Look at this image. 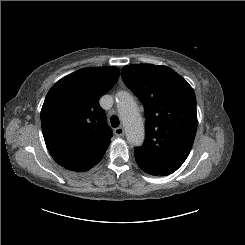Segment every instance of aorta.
<instances>
[{
	"label": "aorta",
	"mask_w": 245,
	"mask_h": 245,
	"mask_svg": "<svg viewBox=\"0 0 245 245\" xmlns=\"http://www.w3.org/2000/svg\"><path fill=\"white\" fill-rule=\"evenodd\" d=\"M117 109L125 128L128 142L140 146L145 138V131L138 106L133 97L127 92L117 95Z\"/></svg>",
	"instance_id": "1"
}]
</instances>
